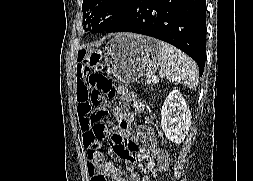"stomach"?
Returning a JSON list of instances; mask_svg holds the SVG:
<instances>
[{"mask_svg":"<svg viewBox=\"0 0 253 181\" xmlns=\"http://www.w3.org/2000/svg\"><path fill=\"white\" fill-rule=\"evenodd\" d=\"M159 41L132 33H119L103 48L108 72L131 83L156 71L161 62Z\"/></svg>","mask_w":253,"mask_h":181,"instance_id":"stomach-1","label":"stomach"}]
</instances>
